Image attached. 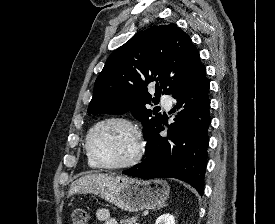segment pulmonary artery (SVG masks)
<instances>
[{
    "mask_svg": "<svg viewBox=\"0 0 275 224\" xmlns=\"http://www.w3.org/2000/svg\"><path fill=\"white\" fill-rule=\"evenodd\" d=\"M161 103H162V105L165 108L170 109L171 104H172V99H171V97L169 95L162 94V96H161Z\"/></svg>",
    "mask_w": 275,
    "mask_h": 224,
    "instance_id": "pulmonary-artery-1",
    "label": "pulmonary artery"
}]
</instances>
